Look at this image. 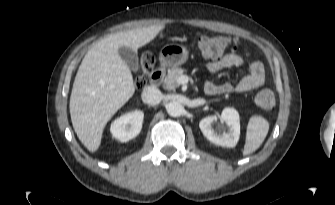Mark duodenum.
I'll list each match as a JSON object with an SVG mask.
<instances>
[{
	"label": "duodenum",
	"instance_id": "obj_1",
	"mask_svg": "<svg viewBox=\"0 0 335 205\" xmlns=\"http://www.w3.org/2000/svg\"><path fill=\"white\" fill-rule=\"evenodd\" d=\"M164 74H165L164 65H159L150 74V83L152 85H159L164 77ZM204 92L208 95H213V90L208 87H204Z\"/></svg>",
	"mask_w": 335,
	"mask_h": 205
}]
</instances>
